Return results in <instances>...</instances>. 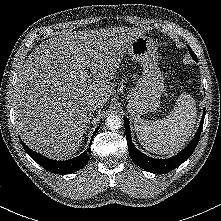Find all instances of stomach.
Here are the masks:
<instances>
[{"label": "stomach", "mask_w": 221, "mask_h": 221, "mask_svg": "<svg viewBox=\"0 0 221 221\" xmlns=\"http://www.w3.org/2000/svg\"><path fill=\"white\" fill-rule=\"evenodd\" d=\"M128 54L142 64V75L136 86L127 95L128 111L139 117L155 111L164 92V76L159 68L157 46L144 35L137 36L127 49Z\"/></svg>", "instance_id": "stomach-1"}]
</instances>
